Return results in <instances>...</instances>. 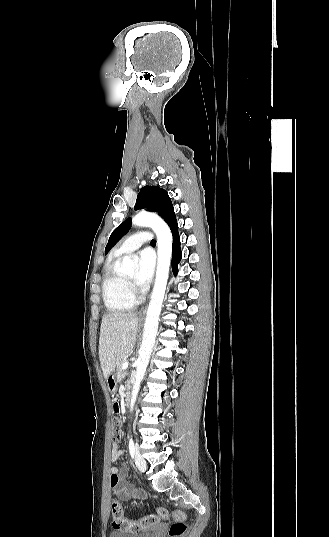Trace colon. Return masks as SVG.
Listing matches in <instances>:
<instances>
[{
	"mask_svg": "<svg viewBox=\"0 0 329 537\" xmlns=\"http://www.w3.org/2000/svg\"><path fill=\"white\" fill-rule=\"evenodd\" d=\"M121 437L122 428L120 421L118 418H114L112 423V438L114 441H119ZM110 509L114 520L112 526L119 534H135L160 521H170L169 537H183L187 532L188 526L185 522V515L181 511L169 512L166 509H158L154 514L137 520H129L124 516L123 506L118 500L114 499L111 502Z\"/></svg>",
	"mask_w": 329,
	"mask_h": 537,
	"instance_id": "obj_1",
	"label": "colon"
}]
</instances>
